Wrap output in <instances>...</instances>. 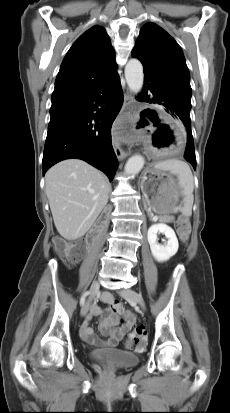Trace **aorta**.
<instances>
[{
    "label": "aorta",
    "instance_id": "1",
    "mask_svg": "<svg viewBox=\"0 0 230 413\" xmlns=\"http://www.w3.org/2000/svg\"><path fill=\"white\" fill-rule=\"evenodd\" d=\"M125 79L127 85L133 93L137 94L143 87L144 74L143 66L138 59H130L125 66ZM145 160L141 155H134L130 157L125 164L124 171L128 175L138 174L143 166Z\"/></svg>",
    "mask_w": 230,
    "mask_h": 413
}]
</instances>
